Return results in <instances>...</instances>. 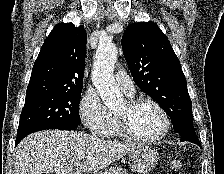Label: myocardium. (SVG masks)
Segmentation results:
<instances>
[{"instance_id":"1","label":"myocardium","mask_w":224,"mask_h":174,"mask_svg":"<svg viewBox=\"0 0 224 174\" xmlns=\"http://www.w3.org/2000/svg\"><path fill=\"white\" fill-rule=\"evenodd\" d=\"M125 103L129 111H132L139 105L145 104V103L154 106L159 111V113L161 114L163 118L164 127H163V130L154 137H143L132 131L127 120L124 117H121L115 114V121L121 136L133 141L144 142V143H155L162 140L168 134L171 127L170 117L159 102L149 97H137V98L128 99Z\"/></svg>"}]
</instances>
